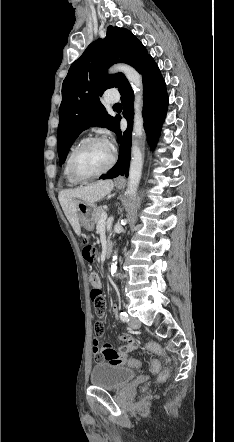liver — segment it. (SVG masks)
<instances>
[{
    "mask_svg": "<svg viewBox=\"0 0 234 442\" xmlns=\"http://www.w3.org/2000/svg\"><path fill=\"white\" fill-rule=\"evenodd\" d=\"M114 187L112 180L98 181L92 185L59 193V202L74 232L80 236L81 227L77 205L81 202L95 203L108 195Z\"/></svg>",
    "mask_w": 234,
    "mask_h": 442,
    "instance_id": "1",
    "label": "liver"
}]
</instances>
